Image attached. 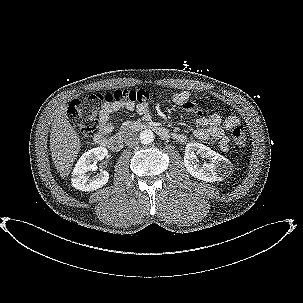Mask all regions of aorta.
Instances as JSON below:
<instances>
[{
	"label": "aorta",
	"instance_id": "1",
	"mask_svg": "<svg viewBox=\"0 0 303 303\" xmlns=\"http://www.w3.org/2000/svg\"><path fill=\"white\" fill-rule=\"evenodd\" d=\"M139 140L142 144L147 145L154 141V133L151 130H143L139 134Z\"/></svg>",
	"mask_w": 303,
	"mask_h": 303
}]
</instances>
